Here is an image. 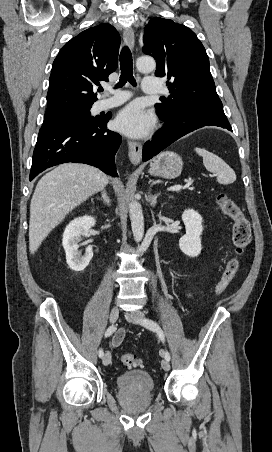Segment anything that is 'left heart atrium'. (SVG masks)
Here are the masks:
<instances>
[{"instance_id": "left-heart-atrium-1", "label": "left heart atrium", "mask_w": 272, "mask_h": 452, "mask_svg": "<svg viewBox=\"0 0 272 452\" xmlns=\"http://www.w3.org/2000/svg\"><path fill=\"white\" fill-rule=\"evenodd\" d=\"M153 124V114L139 103H132L123 108L114 120L115 129L131 137L144 136Z\"/></svg>"}]
</instances>
